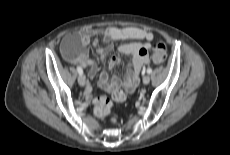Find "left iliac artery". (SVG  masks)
<instances>
[{
  "instance_id": "left-iliac-artery-1",
  "label": "left iliac artery",
  "mask_w": 230,
  "mask_h": 155,
  "mask_svg": "<svg viewBox=\"0 0 230 155\" xmlns=\"http://www.w3.org/2000/svg\"><path fill=\"white\" fill-rule=\"evenodd\" d=\"M147 73H148V74L152 73V69H151V68H148V69H147Z\"/></svg>"
}]
</instances>
